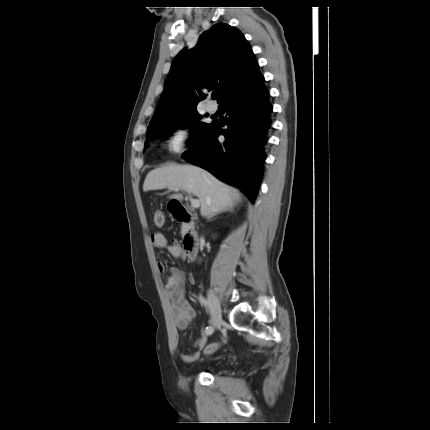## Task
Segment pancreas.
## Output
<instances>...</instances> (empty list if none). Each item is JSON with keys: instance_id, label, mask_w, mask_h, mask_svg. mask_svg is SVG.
Wrapping results in <instances>:
<instances>
[{"instance_id": "pancreas-1", "label": "pancreas", "mask_w": 430, "mask_h": 430, "mask_svg": "<svg viewBox=\"0 0 430 430\" xmlns=\"http://www.w3.org/2000/svg\"><path fill=\"white\" fill-rule=\"evenodd\" d=\"M182 233H184V227L182 228Z\"/></svg>"}]
</instances>
